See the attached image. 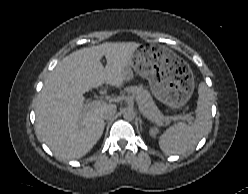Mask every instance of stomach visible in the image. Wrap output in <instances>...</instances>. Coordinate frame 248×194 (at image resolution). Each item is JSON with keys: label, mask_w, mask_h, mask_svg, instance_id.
I'll list each match as a JSON object with an SVG mask.
<instances>
[{"label": "stomach", "mask_w": 248, "mask_h": 194, "mask_svg": "<svg viewBox=\"0 0 248 194\" xmlns=\"http://www.w3.org/2000/svg\"><path fill=\"white\" fill-rule=\"evenodd\" d=\"M127 70L129 79L133 71L146 78L153 95L174 110L183 107L194 90L190 66L166 47L139 46L132 54Z\"/></svg>", "instance_id": "1"}]
</instances>
